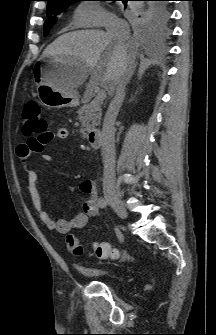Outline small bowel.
<instances>
[{"mask_svg":"<svg viewBox=\"0 0 216 335\" xmlns=\"http://www.w3.org/2000/svg\"><path fill=\"white\" fill-rule=\"evenodd\" d=\"M69 137V131L66 128H60L51 136L46 143L51 140H65ZM33 151L28 144H21L17 148V155L24 165L30 160ZM43 160L50 162L52 156L50 154H43ZM27 183L28 193L34 209L37 212L39 219L52 231L61 234H68L73 229H84L90 218H95L99 214L98 194L95 182L91 179L84 180L80 185V191L88 195L82 204L83 212L74 215L71 219H54L48 211L43 207L41 195L38 189V173L33 169H27ZM105 245L110 247V244L104 242ZM105 259V258H102Z\"/></svg>","mask_w":216,"mask_h":335,"instance_id":"c3829d8e","label":"small bowel"}]
</instances>
